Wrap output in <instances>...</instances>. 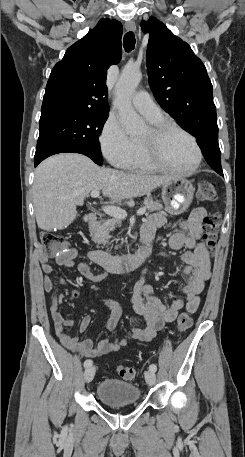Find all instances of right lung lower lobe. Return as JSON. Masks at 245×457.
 I'll return each mask as SVG.
<instances>
[{
	"instance_id": "1",
	"label": "right lung lower lobe",
	"mask_w": 245,
	"mask_h": 457,
	"mask_svg": "<svg viewBox=\"0 0 245 457\" xmlns=\"http://www.w3.org/2000/svg\"><path fill=\"white\" fill-rule=\"evenodd\" d=\"M57 152H51V153H47V154H44L42 156H39L37 158H34V163H35V166H37L42 160H44L45 158L53 155V154H56ZM61 153V152H59Z\"/></svg>"
}]
</instances>
